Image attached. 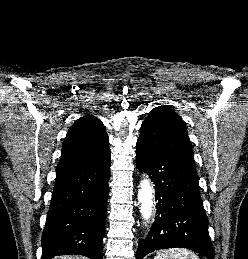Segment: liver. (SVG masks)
I'll return each mask as SVG.
<instances>
[{
	"label": "liver",
	"mask_w": 248,
	"mask_h": 259,
	"mask_svg": "<svg viewBox=\"0 0 248 259\" xmlns=\"http://www.w3.org/2000/svg\"><path fill=\"white\" fill-rule=\"evenodd\" d=\"M53 259H87V258L82 256H58Z\"/></svg>",
	"instance_id": "1"
}]
</instances>
